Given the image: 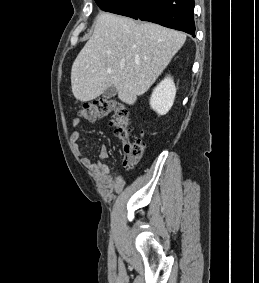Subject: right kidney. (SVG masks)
I'll return each mask as SVG.
<instances>
[{"mask_svg": "<svg viewBox=\"0 0 259 283\" xmlns=\"http://www.w3.org/2000/svg\"><path fill=\"white\" fill-rule=\"evenodd\" d=\"M176 95V87L171 77H166L154 89L150 106L159 115H165L172 107Z\"/></svg>", "mask_w": 259, "mask_h": 283, "instance_id": "right-kidney-1", "label": "right kidney"}]
</instances>
